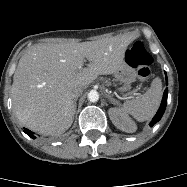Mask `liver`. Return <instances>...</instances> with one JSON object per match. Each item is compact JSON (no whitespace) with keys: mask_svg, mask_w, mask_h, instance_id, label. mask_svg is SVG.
<instances>
[{"mask_svg":"<svg viewBox=\"0 0 187 187\" xmlns=\"http://www.w3.org/2000/svg\"><path fill=\"white\" fill-rule=\"evenodd\" d=\"M131 35L81 43L40 44L26 51L13 77V109L27 128L47 136L73 123L71 91L87 88L99 75L114 74L123 64ZM85 59L87 67H83Z\"/></svg>","mask_w":187,"mask_h":187,"instance_id":"6515ba94","label":"liver"}]
</instances>
